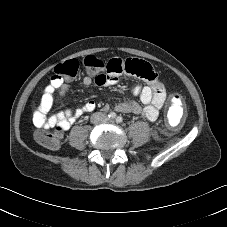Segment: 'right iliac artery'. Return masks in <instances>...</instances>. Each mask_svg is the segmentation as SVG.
<instances>
[{
	"instance_id": "82829eb1",
	"label": "right iliac artery",
	"mask_w": 227,
	"mask_h": 227,
	"mask_svg": "<svg viewBox=\"0 0 227 227\" xmlns=\"http://www.w3.org/2000/svg\"><path fill=\"white\" fill-rule=\"evenodd\" d=\"M108 117L112 120H114L116 118V114L114 112H110Z\"/></svg>"
}]
</instances>
